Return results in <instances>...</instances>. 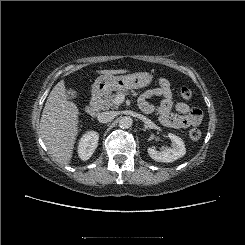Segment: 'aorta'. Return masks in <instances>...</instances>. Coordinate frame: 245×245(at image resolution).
<instances>
[{
	"mask_svg": "<svg viewBox=\"0 0 245 245\" xmlns=\"http://www.w3.org/2000/svg\"><path fill=\"white\" fill-rule=\"evenodd\" d=\"M132 123H133V120L132 118L130 117H122L120 120H119V126L123 129H128L132 126Z\"/></svg>",
	"mask_w": 245,
	"mask_h": 245,
	"instance_id": "762f6f07",
	"label": "aorta"
}]
</instances>
